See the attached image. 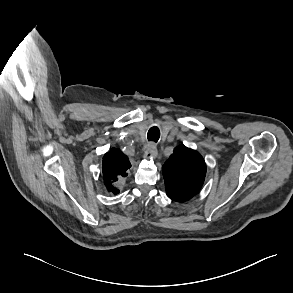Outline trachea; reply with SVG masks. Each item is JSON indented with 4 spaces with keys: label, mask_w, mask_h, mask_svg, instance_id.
<instances>
[{
    "label": "trachea",
    "mask_w": 293,
    "mask_h": 293,
    "mask_svg": "<svg viewBox=\"0 0 293 293\" xmlns=\"http://www.w3.org/2000/svg\"><path fill=\"white\" fill-rule=\"evenodd\" d=\"M147 138L149 141L157 142L160 138L159 128L156 126L151 127L147 133Z\"/></svg>",
    "instance_id": "3493384b"
}]
</instances>
